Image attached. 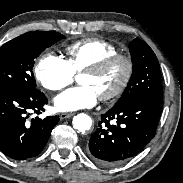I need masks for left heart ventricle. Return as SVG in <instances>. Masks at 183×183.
<instances>
[{
  "instance_id": "obj_1",
  "label": "left heart ventricle",
  "mask_w": 183,
  "mask_h": 183,
  "mask_svg": "<svg viewBox=\"0 0 183 183\" xmlns=\"http://www.w3.org/2000/svg\"><path fill=\"white\" fill-rule=\"evenodd\" d=\"M124 73V63L117 62L108 70L98 75L83 73L79 78V83L93 88L98 96H101L115 89L120 84Z\"/></svg>"
}]
</instances>
